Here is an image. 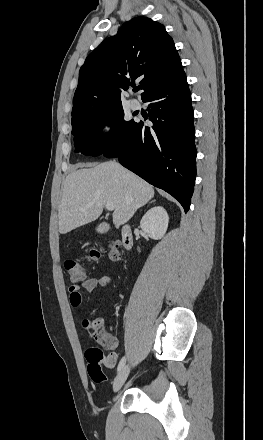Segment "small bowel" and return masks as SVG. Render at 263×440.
<instances>
[{"label":"small bowel","mask_w":263,"mask_h":440,"mask_svg":"<svg viewBox=\"0 0 263 440\" xmlns=\"http://www.w3.org/2000/svg\"><path fill=\"white\" fill-rule=\"evenodd\" d=\"M113 281V277L111 275H102L99 277H90L85 279L81 285L72 286L69 289L70 293V305L72 307H79L82 303V293L81 291L92 292L97 289H102L109 286ZM93 326L101 333V335L105 338L104 346L108 350H114L117 348L119 341L113 335V326L109 325L107 328H104L105 321L103 318H96L92 321Z\"/></svg>","instance_id":"c3829d8e"}]
</instances>
